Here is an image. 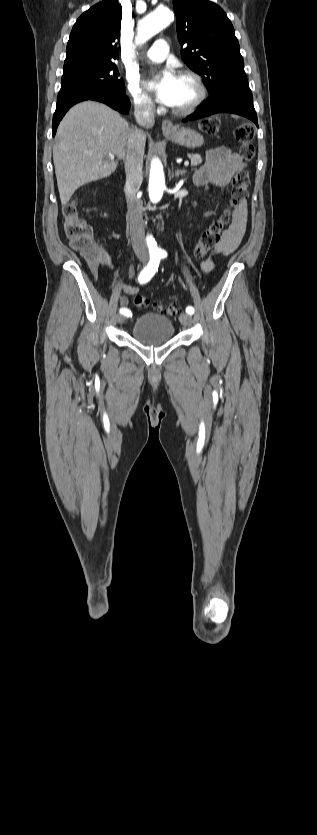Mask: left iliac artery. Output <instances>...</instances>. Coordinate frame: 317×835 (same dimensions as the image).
<instances>
[{"mask_svg": "<svg viewBox=\"0 0 317 835\" xmlns=\"http://www.w3.org/2000/svg\"><path fill=\"white\" fill-rule=\"evenodd\" d=\"M167 256V252L165 250H161L159 253V258H165ZM186 313L192 315L194 313V308L192 306H188L186 308Z\"/></svg>", "mask_w": 317, "mask_h": 835, "instance_id": "left-iliac-artery-1", "label": "left iliac artery"}]
</instances>
